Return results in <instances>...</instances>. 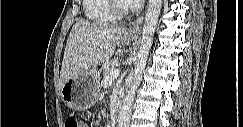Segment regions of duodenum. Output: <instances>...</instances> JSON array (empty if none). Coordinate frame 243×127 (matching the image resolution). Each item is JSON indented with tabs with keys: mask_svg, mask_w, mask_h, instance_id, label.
Here are the masks:
<instances>
[{
	"mask_svg": "<svg viewBox=\"0 0 243 127\" xmlns=\"http://www.w3.org/2000/svg\"><path fill=\"white\" fill-rule=\"evenodd\" d=\"M121 107H122L121 103H118L116 105V108H115L116 121L118 120V117H119V114H120V111H121Z\"/></svg>",
	"mask_w": 243,
	"mask_h": 127,
	"instance_id": "obj_1",
	"label": "duodenum"
}]
</instances>
